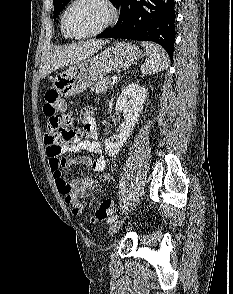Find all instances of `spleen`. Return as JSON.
Instances as JSON below:
<instances>
[{"instance_id": "1", "label": "spleen", "mask_w": 233, "mask_h": 294, "mask_svg": "<svg viewBox=\"0 0 233 294\" xmlns=\"http://www.w3.org/2000/svg\"><path fill=\"white\" fill-rule=\"evenodd\" d=\"M141 45L146 49L148 56V60L141 65L142 74L151 75L167 68L168 59L161 46L152 42H142Z\"/></svg>"}]
</instances>
